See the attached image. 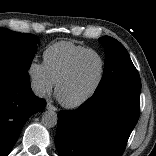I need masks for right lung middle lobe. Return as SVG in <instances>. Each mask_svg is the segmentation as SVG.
<instances>
[{"label": "right lung middle lobe", "instance_id": "right-lung-middle-lobe-1", "mask_svg": "<svg viewBox=\"0 0 156 156\" xmlns=\"http://www.w3.org/2000/svg\"><path fill=\"white\" fill-rule=\"evenodd\" d=\"M39 38L33 34L0 29V69L28 74Z\"/></svg>", "mask_w": 156, "mask_h": 156}]
</instances>
